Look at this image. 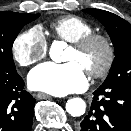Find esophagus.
<instances>
[{"mask_svg": "<svg viewBox=\"0 0 131 131\" xmlns=\"http://www.w3.org/2000/svg\"><path fill=\"white\" fill-rule=\"evenodd\" d=\"M37 99H48L51 98L50 95L46 94V93H42V92H38L35 94Z\"/></svg>", "mask_w": 131, "mask_h": 131, "instance_id": "1", "label": "esophagus"}]
</instances>
